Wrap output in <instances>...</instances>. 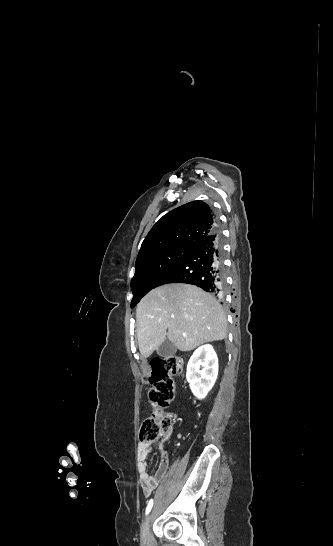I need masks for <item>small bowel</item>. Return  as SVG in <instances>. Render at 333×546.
Returning a JSON list of instances; mask_svg holds the SVG:
<instances>
[{
  "label": "small bowel",
  "instance_id": "c3829d8e",
  "mask_svg": "<svg viewBox=\"0 0 333 546\" xmlns=\"http://www.w3.org/2000/svg\"><path fill=\"white\" fill-rule=\"evenodd\" d=\"M151 446L147 442H140L137 448V457L139 460L138 470L140 474V485L143 489L144 496L149 497L150 494L157 488L160 481L166 476L169 470V454L162 450L161 460L154 475L149 473L148 457L151 453Z\"/></svg>",
  "mask_w": 333,
  "mask_h": 546
}]
</instances>
